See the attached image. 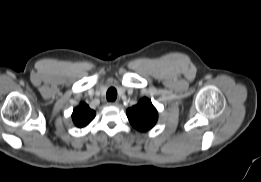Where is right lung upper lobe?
I'll return each mask as SVG.
<instances>
[{
	"label": "right lung upper lobe",
	"mask_w": 261,
	"mask_h": 182,
	"mask_svg": "<svg viewBox=\"0 0 261 182\" xmlns=\"http://www.w3.org/2000/svg\"><path fill=\"white\" fill-rule=\"evenodd\" d=\"M95 117V111L91 110L89 106L81 102L78 107H76L72 114V119L77 127H84L88 125Z\"/></svg>",
	"instance_id": "obj_1"
}]
</instances>
